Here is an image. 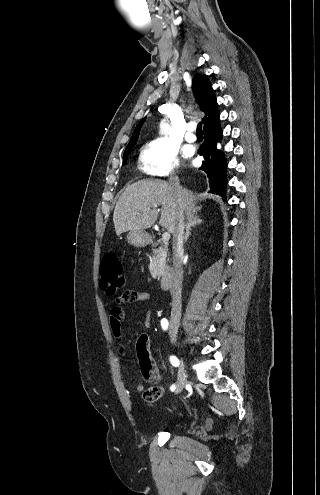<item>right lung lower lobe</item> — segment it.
Masks as SVG:
<instances>
[{
  "instance_id": "obj_1",
  "label": "right lung lower lobe",
  "mask_w": 320,
  "mask_h": 495,
  "mask_svg": "<svg viewBox=\"0 0 320 495\" xmlns=\"http://www.w3.org/2000/svg\"><path fill=\"white\" fill-rule=\"evenodd\" d=\"M203 133L205 140L198 152L204 157V160L199 170L207 174L210 192L225 198L227 161L223 152L217 148V143L222 139L223 133L220 121L205 128Z\"/></svg>"
}]
</instances>
